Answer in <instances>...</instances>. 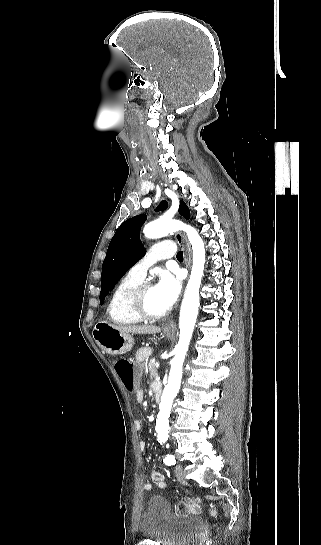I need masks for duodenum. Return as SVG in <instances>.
Returning <instances> with one entry per match:
<instances>
[{
  "label": "duodenum",
  "mask_w": 321,
  "mask_h": 545,
  "mask_svg": "<svg viewBox=\"0 0 321 545\" xmlns=\"http://www.w3.org/2000/svg\"><path fill=\"white\" fill-rule=\"evenodd\" d=\"M153 392H154V396L156 398V400H160L161 398V395H162V385L161 383L159 382H155L153 384Z\"/></svg>",
  "instance_id": "1"
}]
</instances>
